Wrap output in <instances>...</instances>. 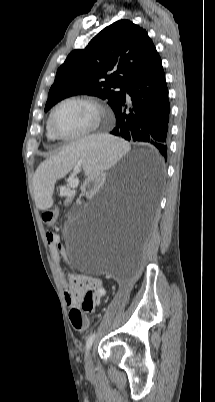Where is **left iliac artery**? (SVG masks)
I'll list each match as a JSON object with an SVG mask.
<instances>
[{
    "label": "left iliac artery",
    "instance_id": "44dca946",
    "mask_svg": "<svg viewBox=\"0 0 215 402\" xmlns=\"http://www.w3.org/2000/svg\"><path fill=\"white\" fill-rule=\"evenodd\" d=\"M94 339H95V333L91 334V335L89 336V338L87 339V341H86V350H87V351L91 348Z\"/></svg>",
    "mask_w": 215,
    "mask_h": 402
}]
</instances>
